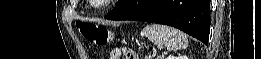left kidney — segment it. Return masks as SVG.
<instances>
[{"mask_svg": "<svg viewBox=\"0 0 261 59\" xmlns=\"http://www.w3.org/2000/svg\"><path fill=\"white\" fill-rule=\"evenodd\" d=\"M167 59H188L187 56H168Z\"/></svg>", "mask_w": 261, "mask_h": 59, "instance_id": "obj_1", "label": "left kidney"}]
</instances>
